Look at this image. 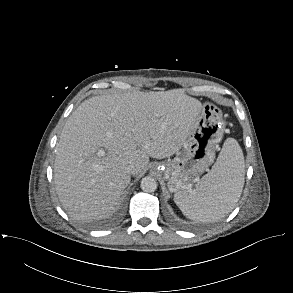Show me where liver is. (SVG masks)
Listing matches in <instances>:
<instances>
[{
  "instance_id": "6515ba94",
  "label": "liver",
  "mask_w": 293,
  "mask_h": 293,
  "mask_svg": "<svg viewBox=\"0 0 293 293\" xmlns=\"http://www.w3.org/2000/svg\"><path fill=\"white\" fill-rule=\"evenodd\" d=\"M202 111L183 89L95 96L70 115L56 146L58 198L77 221L110 215L131 181L132 163L143 172L149 157L175 154ZM100 150L106 151L102 155Z\"/></svg>"
}]
</instances>
